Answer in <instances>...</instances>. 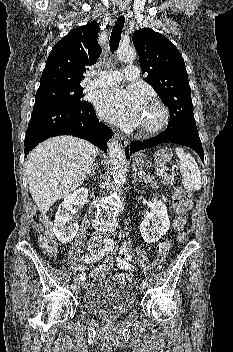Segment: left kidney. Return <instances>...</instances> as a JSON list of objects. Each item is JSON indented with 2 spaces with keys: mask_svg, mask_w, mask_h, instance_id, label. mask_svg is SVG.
Here are the masks:
<instances>
[{
  "mask_svg": "<svg viewBox=\"0 0 233 352\" xmlns=\"http://www.w3.org/2000/svg\"><path fill=\"white\" fill-rule=\"evenodd\" d=\"M152 221V225H150ZM170 220L166 205L161 200H155L151 205L150 214L141 222L140 233L146 243H155L166 234Z\"/></svg>",
  "mask_w": 233,
  "mask_h": 352,
  "instance_id": "obj_1",
  "label": "left kidney"
}]
</instances>
